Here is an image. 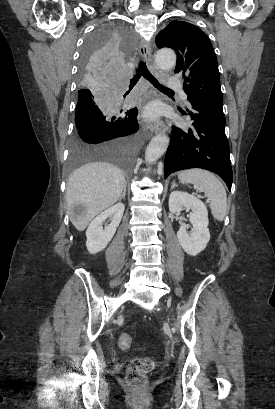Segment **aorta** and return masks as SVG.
I'll return each instance as SVG.
<instances>
[{"mask_svg": "<svg viewBox=\"0 0 275 409\" xmlns=\"http://www.w3.org/2000/svg\"><path fill=\"white\" fill-rule=\"evenodd\" d=\"M155 62L162 70H169V68H172V66L176 64V54L174 50L161 48V50H158L155 54ZM169 140V136L164 134V132H160V134H156L154 138H151L145 152L146 162H155V160H158V158L164 154L165 150H167Z\"/></svg>", "mask_w": 275, "mask_h": 409, "instance_id": "762f6f07", "label": "aorta"}]
</instances>
